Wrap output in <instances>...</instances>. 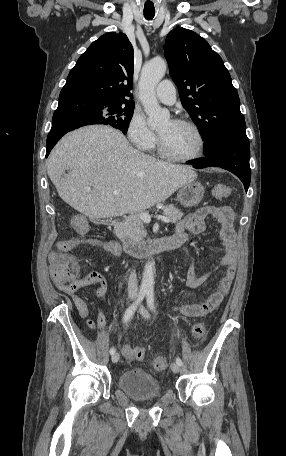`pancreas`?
Listing matches in <instances>:
<instances>
[{
    "instance_id": "obj_1",
    "label": "pancreas",
    "mask_w": 286,
    "mask_h": 456,
    "mask_svg": "<svg viewBox=\"0 0 286 456\" xmlns=\"http://www.w3.org/2000/svg\"><path fill=\"white\" fill-rule=\"evenodd\" d=\"M162 211L163 215L167 216L172 223L180 221L183 217V212L172 204L163 206ZM114 233L126 245L140 242L147 235L143 220L140 219L139 214L130 215L122 223L115 226Z\"/></svg>"
}]
</instances>
